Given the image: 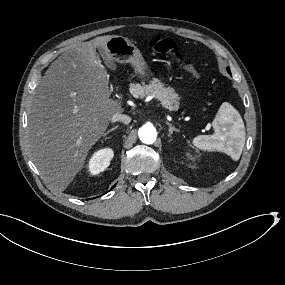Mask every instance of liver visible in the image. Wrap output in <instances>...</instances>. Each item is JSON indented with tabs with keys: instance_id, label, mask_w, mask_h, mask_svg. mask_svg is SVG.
<instances>
[{
	"instance_id": "obj_1",
	"label": "liver",
	"mask_w": 285,
	"mask_h": 285,
	"mask_svg": "<svg viewBox=\"0 0 285 285\" xmlns=\"http://www.w3.org/2000/svg\"><path fill=\"white\" fill-rule=\"evenodd\" d=\"M100 36L76 44L56 59L38 83L28 115L27 148L49 187L60 192L85 164L112 116L122 113L111 99L109 75L96 54L112 60Z\"/></svg>"
}]
</instances>
